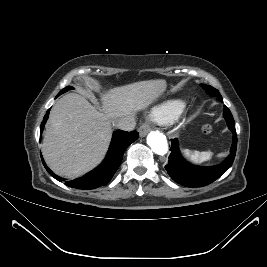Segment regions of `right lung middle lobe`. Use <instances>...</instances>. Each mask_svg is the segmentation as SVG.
<instances>
[{
    "label": "right lung middle lobe",
    "instance_id": "dd1d6c3e",
    "mask_svg": "<svg viewBox=\"0 0 267 267\" xmlns=\"http://www.w3.org/2000/svg\"><path fill=\"white\" fill-rule=\"evenodd\" d=\"M71 89H73L72 86H67V87L64 88L59 94H62V93L66 92V91H68V90H71Z\"/></svg>",
    "mask_w": 267,
    "mask_h": 267
}]
</instances>
